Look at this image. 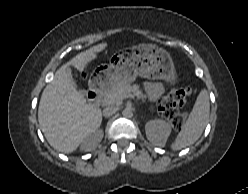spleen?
Instances as JSON below:
<instances>
[{
    "label": "spleen",
    "instance_id": "obj_1",
    "mask_svg": "<svg viewBox=\"0 0 248 194\" xmlns=\"http://www.w3.org/2000/svg\"><path fill=\"white\" fill-rule=\"evenodd\" d=\"M209 113V95L206 89H202L188 119L182 125L175 141L171 144L172 150H181L194 144L200 138L208 123Z\"/></svg>",
    "mask_w": 248,
    "mask_h": 194
}]
</instances>
